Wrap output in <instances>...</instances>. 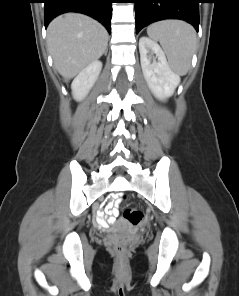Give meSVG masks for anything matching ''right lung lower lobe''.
<instances>
[{
	"label": "right lung lower lobe",
	"mask_w": 239,
	"mask_h": 296,
	"mask_svg": "<svg viewBox=\"0 0 239 296\" xmlns=\"http://www.w3.org/2000/svg\"><path fill=\"white\" fill-rule=\"evenodd\" d=\"M44 24L65 12H79L93 17L111 33V13L114 0H43Z\"/></svg>",
	"instance_id": "1"
}]
</instances>
